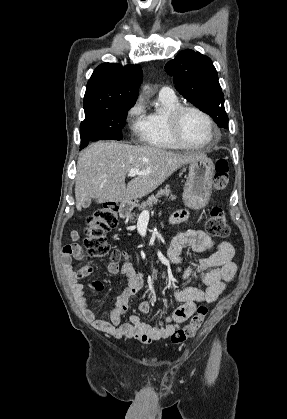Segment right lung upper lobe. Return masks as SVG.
I'll use <instances>...</instances> for the list:
<instances>
[{"instance_id":"right-lung-upper-lobe-1","label":"right lung upper lobe","mask_w":287,"mask_h":419,"mask_svg":"<svg viewBox=\"0 0 287 419\" xmlns=\"http://www.w3.org/2000/svg\"><path fill=\"white\" fill-rule=\"evenodd\" d=\"M142 76V69L138 65H99L87 83L84 96L85 113L105 107L134 104Z\"/></svg>"}]
</instances>
